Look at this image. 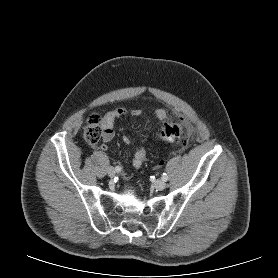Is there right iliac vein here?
Returning a JSON list of instances; mask_svg holds the SVG:
<instances>
[{"mask_svg": "<svg viewBox=\"0 0 278 278\" xmlns=\"http://www.w3.org/2000/svg\"><path fill=\"white\" fill-rule=\"evenodd\" d=\"M107 173L109 177L113 178L116 174V170L113 167H109Z\"/></svg>", "mask_w": 278, "mask_h": 278, "instance_id": "63e3f726", "label": "right iliac vein"}]
</instances>
